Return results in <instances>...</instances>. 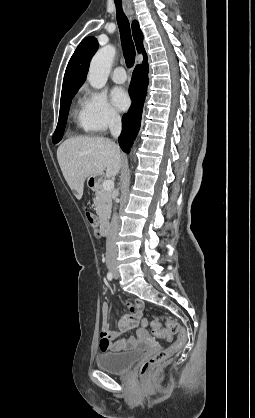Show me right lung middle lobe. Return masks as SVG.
<instances>
[{
	"mask_svg": "<svg viewBox=\"0 0 255 418\" xmlns=\"http://www.w3.org/2000/svg\"><path fill=\"white\" fill-rule=\"evenodd\" d=\"M77 91L78 90L61 93L59 120H58V124H57L56 130L54 132L53 139H52V142L54 144L58 143L62 139L65 125L67 122L71 100Z\"/></svg>",
	"mask_w": 255,
	"mask_h": 418,
	"instance_id": "1",
	"label": "right lung middle lobe"
}]
</instances>
